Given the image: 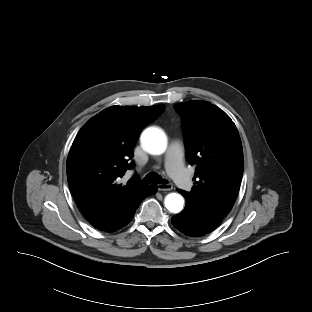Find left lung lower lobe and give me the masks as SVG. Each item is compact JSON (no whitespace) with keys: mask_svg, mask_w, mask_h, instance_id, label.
<instances>
[{"mask_svg":"<svg viewBox=\"0 0 312 312\" xmlns=\"http://www.w3.org/2000/svg\"><path fill=\"white\" fill-rule=\"evenodd\" d=\"M181 193V190H179ZM182 194V193H181ZM186 199V208L172 217L173 225L188 236H202L213 231L223 217Z\"/></svg>","mask_w":312,"mask_h":312,"instance_id":"1","label":"left lung lower lobe"}]
</instances>
